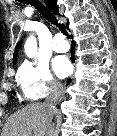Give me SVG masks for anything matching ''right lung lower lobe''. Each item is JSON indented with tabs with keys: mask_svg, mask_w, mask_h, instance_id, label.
I'll use <instances>...</instances> for the list:
<instances>
[{
	"mask_svg": "<svg viewBox=\"0 0 117 136\" xmlns=\"http://www.w3.org/2000/svg\"><path fill=\"white\" fill-rule=\"evenodd\" d=\"M71 60H72V61H74L73 57H71ZM70 81H71V80H70V79H68V82H70Z\"/></svg>",
	"mask_w": 117,
	"mask_h": 136,
	"instance_id": "1",
	"label": "right lung lower lobe"
}]
</instances>
